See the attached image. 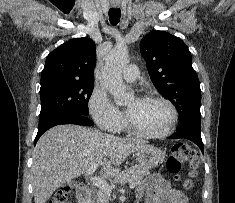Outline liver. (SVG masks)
Returning <instances> with one entry per match:
<instances>
[{
	"label": "liver",
	"instance_id": "liver-1",
	"mask_svg": "<svg viewBox=\"0 0 235 203\" xmlns=\"http://www.w3.org/2000/svg\"><path fill=\"white\" fill-rule=\"evenodd\" d=\"M139 139L119 138L78 125L51 128L38 140L31 167L35 203H45L53 192L95 164L104 178L117 176L119 166L136 149Z\"/></svg>",
	"mask_w": 235,
	"mask_h": 203
}]
</instances>
